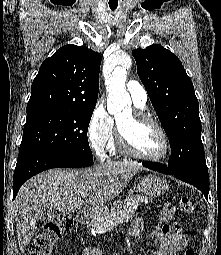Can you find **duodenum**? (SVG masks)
Here are the masks:
<instances>
[{
  "mask_svg": "<svg viewBox=\"0 0 221 255\" xmlns=\"http://www.w3.org/2000/svg\"><path fill=\"white\" fill-rule=\"evenodd\" d=\"M93 219V215L88 211H80L77 214V220L80 223H89Z\"/></svg>",
  "mask_w": 221,
  "mask_h": 255,
  "instance_id": "1",
  "label": "duodenum"
}]
</instances>
